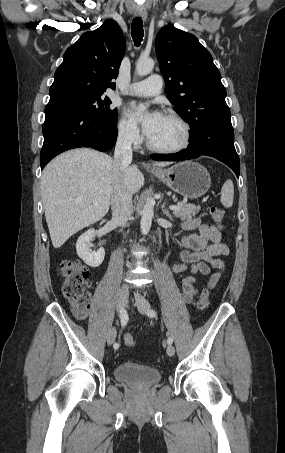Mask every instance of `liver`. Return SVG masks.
Segmentation results:
<instances>
[{
	"mask_svg": "<svg viewBox=\"0 0 285 453\" xmlns=\"http://www.w3.org/2000/svg\"><path fill=\"white\" fill-rule=\"evenodd\" d=\"M117 184L132 195L144 185V176L137 165L120 168L109 155L93 149L67 151L44 168L41 193L54 248L107 214Z\"/></svg>",
	"mask_w": 285,
	"mask_h": 453,
	"instance_id": "obj_1",
	"label": "liver"
}]
</instances>
